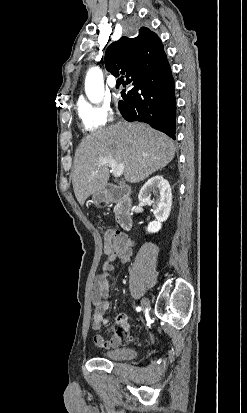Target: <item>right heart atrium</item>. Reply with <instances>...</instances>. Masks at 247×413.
Masks as SVG:
<instances>
[{"instance_id": "1", "label": "right heart atrium", "mask_w": 247, "mask_h": 413, "mask_svg": "<svg viewBox=\"0 0 247 413\" xmlns=\"http://www.w3.org/2000/svg\"><path fill=\"white\" fill-rule=\"evenodd\" d=\"M76 108L79 119H82L84 127L88 128L90 133H95L97 128H102L109 114L114 113L113 105H92L88 100H77Z\"/></svg>"}]
</instances>
